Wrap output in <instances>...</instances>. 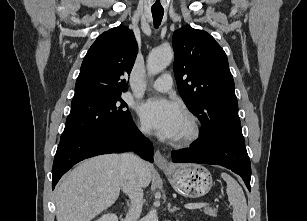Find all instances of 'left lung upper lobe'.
<instances>
[{"instance_id":"obj_1","label":"left lung upper lobe","mask_w":307,"mask_h":221,"mask_svg":"<svg viewBox=\"0 0 307 221\" xmlns=\"http://www.w3.org/2000/svg\"><path fill=\"white\" fill-rule=\"evenodd\" d=\"M172 43L178 90L203 125L200 137L222 136L245 144L224 50L207 32L190 26L176 30Z\"/></svg>"}]
</instances>
